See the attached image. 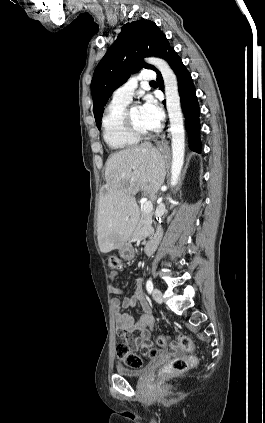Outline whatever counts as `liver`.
Instances as JSON below:
<instances>
[{"label": "liver", "mask_w": 265, "mask_h": 423, "mask_svg": "<svg viewBox=\"0 0 265 423\" xmlns=\"http://www.w3.org/2000/svg\"><path fill=\"white\" fill-rule=\"evenodd\" d=\"M166 164L163 155L145 142L110 155L106 161V193L98 208V245L108 253L128 240L139 208L135 195L141 191L155 194L164 183Z\"/></svg>", "instance_id": "6515ba94"}]
</instances>
